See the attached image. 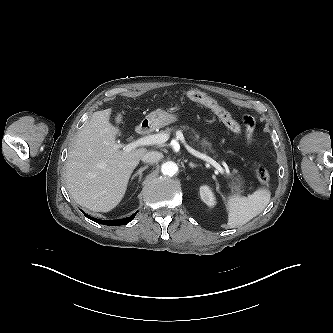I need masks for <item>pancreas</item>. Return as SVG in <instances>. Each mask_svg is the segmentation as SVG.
Wrapping results in <instances>:
<instances>
[{
  "instance_id": "obj_1",
  "label": "pancreas",
  "mask_w": 333,
  "mask_h": 333,
  "mask_svg": "<svg viewBox=\"0 0 333 333\" xmlns=\"http://www.w3.org/2000/svg\"><path fill=\"white\" fill-rule=\"evenodd\" d=\"M182 129H188V127L181 126L180 131H182ZM172 131H174V129L167 127L165 131H163V133L169 135ZM191 132L194 135V136L191 135L192 142H197L198 144H200L201 148H203V151L207 150L208 152L214 153V151L211 149V143H209L205 139H200L199 135L194 130H191ZM227 177L231 179V181L228 184L229 187L231 188V191L233 193L240 194L242 192L241 189L243 187L242 178L240 176H234L232 173L228 174Z\"/></svg>"
}]
</instances>
